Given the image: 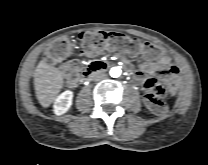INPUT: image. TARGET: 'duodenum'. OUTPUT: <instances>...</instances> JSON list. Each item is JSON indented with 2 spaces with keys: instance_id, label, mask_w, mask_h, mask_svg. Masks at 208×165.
Listing matches in <instances>:
<instances>
[{
  "instance_id": "410a0bca",
  "label": "duodenum",
  "mask_w": 208,
  "mask_h": 165,
  "mask_svg": "<svg viewBox=\"0 0 208 165\" xmlns=\"http://www.w3.org/2000/svg\"><path fill=\"white\" fill-rule=\"evenodd\" d=\"M103 64H93L91 65L86 72L83 74L82 79L88 80L92 75L103 69Z\"/></svg>"
}]
</instances>
